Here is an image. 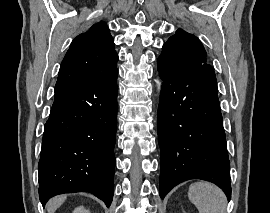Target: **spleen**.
I'll return each instance as SVG.
<instances>
[{
	"mask_svg": "<svg viewBox=\"0 0 270 213\" xmlns=\"http://www.w3.org/2000/svg\"><path fill=\"white\" fill-rule=\"evenodd\" d=\"M189 200L199 213H226V197L223 191L209 182H196L190 185Z\"/></svg>",
	"mask_w": 270,
	"mask_h": 213,
	"instance_id": "1",
	"label": "spleen"
}]
</instances>
